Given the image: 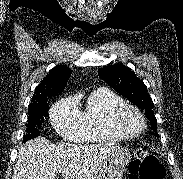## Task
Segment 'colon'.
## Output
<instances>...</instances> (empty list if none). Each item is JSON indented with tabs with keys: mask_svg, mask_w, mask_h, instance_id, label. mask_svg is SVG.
Segmentation results:
<instances>
[{
	"mask_svg": "<svg viewBox=\"0 0 183 179\" xmlns=\"http://www.w3.org/2000/svg\"><path fill=\"white\" fill-rule=\"evenodd\" d=\"M129 179H164L165 170L158 158L146 151L136 153L130 163Z\"/></svg>",
	"mask_w": 183,
	"mask_h": 179,
	"instance_id": "1",
	"label": "colon"
}]
</instances>
